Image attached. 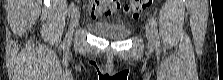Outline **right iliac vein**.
<instances>
[{
	"label": "right iliac vein",
	"instance_id": "1",
	"mask_svg": "<svg viewBox=\"0 0 223 80\" xmlns=\"http://www.w3.org/2000/svg\"><path fill=\"white\" fill-rule=\"evenodd\" d=\"M79 18H80L79 10L75 9L72 13L71 24H70V33L68 35V38L72 37L74 28L76 27V25L79 22Z\"/></svg>",
	"mask_w": 223,
	"mask_h": 80
}]
</instances>
